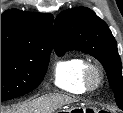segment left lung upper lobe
<instances>
[{
    "instance_id": "5c2ea615",
    "label": "left lung upper lobe",
    "mask_w": 123,
    "mask_h": 113,
    "mask_svg": "<svg viewBox=\"0 0 123 113\" xmlns=\"http://www.w3.org/2000/svg\"><path fill=\"white\" fill-rule=\"evenodd\" d=\"M56 53L79 50L98 59L105 68L117 105L123 109L122 65L115 38L106 23L88 8L61 12L54 25Z\"/></svg>"
}]
</instances>
